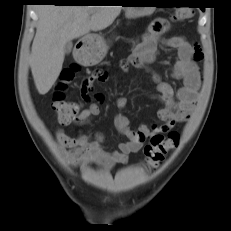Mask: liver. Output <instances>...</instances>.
<instances>
[{"mask_svg": "<svg viewBox=\"0 0 231 231\" xmlns=\"http://www.w3.org/2000/svg\"><path fill=\"white\" fill-rule=\"evenodd\" d=\"M122 6H56L38 7V25L33 40L30 67L36 88L45 95L57 80L64 62V46L90 31L110 26ZM91 15V17H90Z\"/></svg>", "mask_w": 231, "mask_h": 231, "instance_id": "1", "label": "liver"}]
</instances>
